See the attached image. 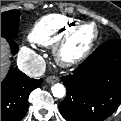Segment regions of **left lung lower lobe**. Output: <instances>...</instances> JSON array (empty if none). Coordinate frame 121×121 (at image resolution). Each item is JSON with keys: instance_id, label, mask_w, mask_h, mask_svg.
I'll return each mask as SVG.
<instances>
[{"instance_id": "0a47b994", "label": "left lung lower lobe", "mask_w": 121, "mask_h": 121, "mask_svg": "<svg viewBox=\"0 0 121 121\" xmlns=\"http://www.w3.org/2000/svg\"><path fill=\"white\" fill-rule=\"evenodd\" d=\"M59 110L67 121H103L121 104V40L101 44L73 74Z\"/></svg>"}]
</instances>
